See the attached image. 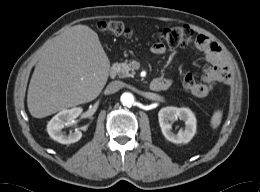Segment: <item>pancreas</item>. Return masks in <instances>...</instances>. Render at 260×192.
I'll return each instance as SVG.
<instances>
[{
  "label": "pancreas",
  "instance_id": "cf45deb5",
  "mask_svg": "<svg viewBox=\"0 0 260 192\" xmlns=\"http://www.w3.org/2000/svg\"><path fill=\"white\" fill-rule=\"evenodd\" d=\"M115 66L117 68V75L119 78L133 76V69L127 62L116 63Z\"/></svg>",
  "mask_w": 260,
  "mask_h": 192
}]
</instances>
